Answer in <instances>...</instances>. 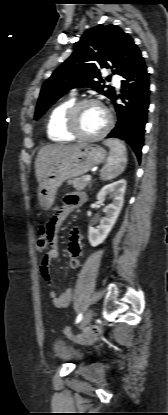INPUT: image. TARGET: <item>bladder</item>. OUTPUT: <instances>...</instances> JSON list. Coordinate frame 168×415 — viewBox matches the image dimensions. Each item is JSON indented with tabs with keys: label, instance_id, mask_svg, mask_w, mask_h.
<instances>
[{
	"label": "bladder",
	"instance_id": "31cf9c89",
	"mask_svg": "<svg viewBox=\"0 0 168 415\" xmlns=\"http://www.w3.org/2000/svg\"><path fill=\"white\" fill-rule=\"evenodd\" d=\"M52 349L57 358L65 361L78 362L83 356L80 350L74 348L62 339L55 340Z\"/></svg>",
	"mask_w": 168,
	"mask_h": 415
}]
</instances>
